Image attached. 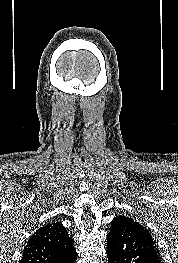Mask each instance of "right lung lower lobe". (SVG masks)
I'll return each instance as SVG.
<instances>
[{
	"mask_svg": "<svg viewBox=\"0 0 178 263\" xmlns=\"http://www.w3.org/2000/svg\"><path fill=\"white\" fill-rule=\"evenodd\" d=\"M76 259H77V253L75 251L74 253L66 257L65 259L59 261V263H75Z\"/></svg>",
	"mask_w": 178,
	"mask_h": 263,
	"instance_id": "right-lung-lower-lobe-1",
	"label": "right lung lower lobe"
}]
</instances>
